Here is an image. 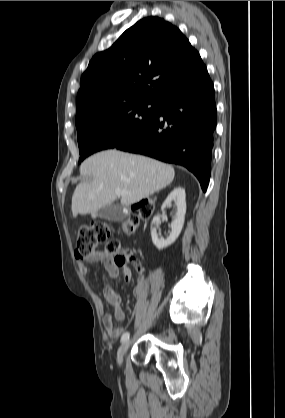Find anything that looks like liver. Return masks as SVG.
I'll return each mask as SVG.
<instances>
[{
  "mask_svg": "<svg viewBox=\"0 0 285 418\" xmlns=\"http://www.w3.org/2000/svg\"><path fill=\"white\" fill-rule=\"evenodd\" d=\"M80 173L92 176L79 183L72 195V214L85 215L114 202L129 206L168 186L174 179L171 165L149 157L117 150L98 152L80 166ZM122 191L121 195L115 193Z\"/></svg>",
  "mask_w": 285,
  "mask_h": 418,
  "instance_id": "6515ba94",
  "label": "liver"
}]
</instances>
